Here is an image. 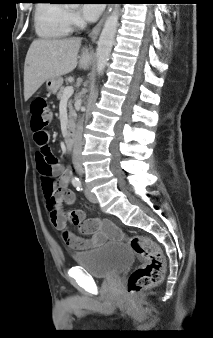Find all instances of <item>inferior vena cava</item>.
Listing matches in <instances>:
<instances>
[{"instance_id":"obj_1","label":"inferior vena cava","mask_w":213,"mask_h":338,"mask_svg":"<svg viewBox=\"0 0 213 338\" xmlns=\"http://www.w3.org/2000/svg\"><path fill=\"white\" fill-rule=\"evenodd\" d=\"M82 132H83V124L82 121L79 120L73 144V164L75 170L80 175L83 173V168L81 164V152L83 146Z\"/></svg>"}]
</instances>
